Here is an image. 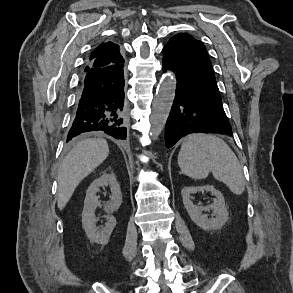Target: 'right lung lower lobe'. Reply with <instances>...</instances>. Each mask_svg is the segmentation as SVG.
Segmentation results:
<instances>
[{"label": "right lung lower lobe", "mask_w": 293, "mask_h": 293, "mask_svg": "<svg viewBox=\"0 0 293 293\" xmlns=\"http://www.w3.org/2000/svg\"><path fill=\"white\" fill-rule=\"evenodd\" d=\"M124 84L123 64L86 71L67 142L86 132L126 140Z\"/></svg>", "instance_id": "98d812e1"}]
</instances>
